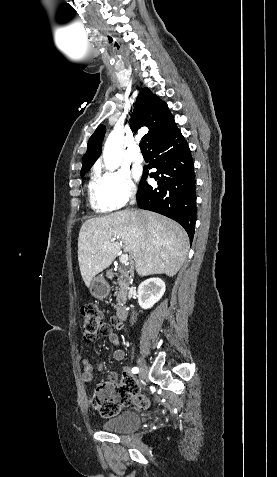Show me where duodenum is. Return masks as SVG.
<instances>
[{"instance_id":"410a0bca","label":"duodenum","mask_w":277,"mask_h":477,"mask_svg":"<svg viewBox=\"0 0 277 477\" xmlns=\"http://www.w3.org/2000/svg\"><path fill=\"white\" fill-rule=\"evenodd\" d=\"M116 316L119 321H124L128 317V311L125 306H119L116 311Z\"/></svg>"}]
</instances>
